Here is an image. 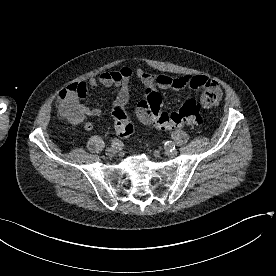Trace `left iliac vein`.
Instances as JSON below:
<instances>
[{
    "label": "left iliac vein",
    "mask_w": 276,
    "mask_h": 276,
    "mask_svg": "<svg viewBox=\"0 0 276 276\" xmlns=\"http://www.w3.org/2000/svg\"><path fill=\"white\" fill-rule=\"evenodd\" d=\"M166 155L169 157H175L177 155L176 149H166Z\"/></svg>",
    "instance_id": "obj_1"
}]
</instances>
